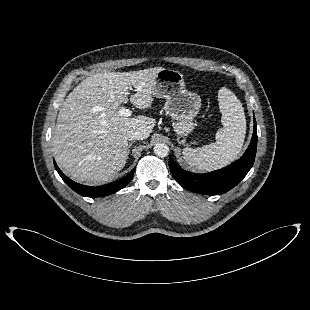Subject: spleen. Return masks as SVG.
I'll list each match as a JSON object with an SVG mask.
<instances>
[{
    "instance_id": "spleen-1",
    "label": "spleen",
    "mask_w": 310,
    "mask_h": 310,
    "mask_svg": "<svg viewBox=\"0 0 310 310\" xmlns=\"http://www.w3.org/2000/svg\"><path fill=\"white\" fill-rule=\"evenodd\" d=\"M223 128L216 133V142L201 148H184L183 156L188 165L201 171L223 168L239 156L246 134V118L241 102L227 88L218 94Z\"/></svg>"
}]
</instances>
